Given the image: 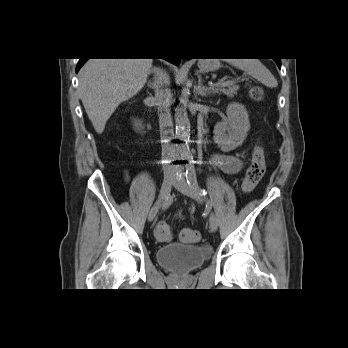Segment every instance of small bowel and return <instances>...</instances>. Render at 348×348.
I'll return each mask as SVG.
<instances>
[{
  "instance_id": "1",
  "label": "small bowel",
  "mask_w": 348,
  "mask_h": 348,
  "mask_svg": "<svg viewBox=\"0 0 348 348\" xmlns=\"http://www.w3.org/2000/svg\"><path fill=\"white\" fill-rule=\"evenodd\" d=\"M212 163L223 172L231 175L239 173L243 168L242 160L233 155L217 154L212 158ZM125 179L126 181L129 180V175L126 171Z\"/></svg>"
}]
</instances>
